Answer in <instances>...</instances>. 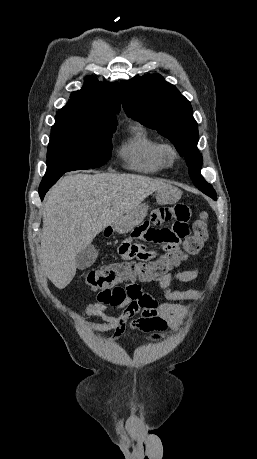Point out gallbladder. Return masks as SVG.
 <instances>
[{
	"label": "gallbladder",
	"instance_id": "bac80fb5",
	"mask_svg": "<svg viewBox=\"0 0 257 459\" xmlns=\"http://www.w3.org/2000/svg\"><path fill=\"white\" fill-rule=\"evenodd\" d=\"M98 251L93 245H88L76 255V266L83 270L90 267L96 260Z\"/></svg>",
	"mask_w": 257,
	"mask_h": 459
}]
</instances>
